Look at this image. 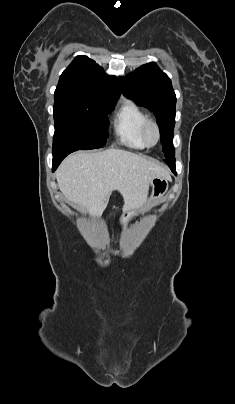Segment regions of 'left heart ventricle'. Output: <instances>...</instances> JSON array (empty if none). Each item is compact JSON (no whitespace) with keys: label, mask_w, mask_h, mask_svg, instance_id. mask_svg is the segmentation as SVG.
Instances as JSON below:
<instances>
[{"label":"left heart ventricle","mask_w":235,"mask_h":404,"mask_svg":"<svg viewBox=\"0 0 235 404\" xmlns=\"http://www.w3.org/2000/svg\"><path fill=\"white\" fill-rule=\"evenodd\" d=\"M147 137L148 140L153 143L155 141V132L153 130H149Z\"/></svg>","instance_id":"obj_1"}]
</instances>
